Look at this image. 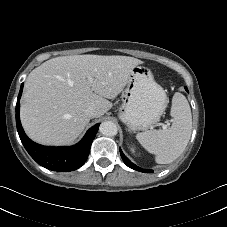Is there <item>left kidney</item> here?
<instances>
[{
    "label": "left kidney",
    "mask_w": 227,
    "mask_h": 227,
    "mask_svg": "<svg viewBox=\"0 0 227 227\" xmlns=\"http://www.w3.org/2000/svg\"><path fill=\"white\" fill-rule=\"evenodd\" d=\"M131 151L134 153L135 152V149L134 148H131Z\"/></svg>",
    "instance_id": "1"
}]
</instances>
